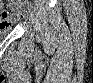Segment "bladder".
Returning <instances> with one entry per match:
<instances>
[{"label": "bladder", "mask_w": 93, "mask_h": 83, "mask_svg": "<svg viewBox=\"0 0 93 83\" xmlns=\"http://www.w3.org/2000/svg\"><path fill=\"white\" fill-rule=\"evenodd\" d=\"M2 31H3L4 33H7V32L9 31V28H4V29H2Z\"/></svg>", "instance_id": "bladder-1"}]
</instances>
